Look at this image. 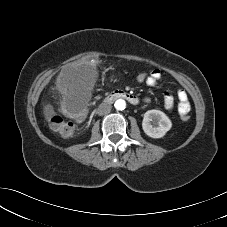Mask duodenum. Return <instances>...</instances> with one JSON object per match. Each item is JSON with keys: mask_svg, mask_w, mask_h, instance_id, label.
I'll return each mask as SVG.
<instances>
[{"mask_svg": "<svg viewBox=\"0 0 227 227\" xmlns=\"http://www.w3.org/2000/svg\"><path fill=\"white\" fill-rule=\"evenodd\" d=\"M117 99H125L129 103L133 105H137L139 103V98L130 92L124 90H115L111 92L104 100L105 103H111Z\"/></svg>", "mask_w": 227, "mask_h": 227, "instance_id": "410a0bca", "label": "duodenum"}]
</instances>
